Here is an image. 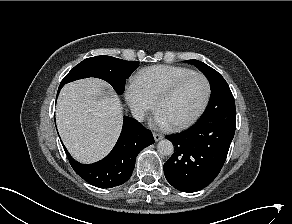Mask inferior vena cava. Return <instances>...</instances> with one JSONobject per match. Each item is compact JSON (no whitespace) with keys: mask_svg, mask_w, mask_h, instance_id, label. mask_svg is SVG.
<instances>
[{"mask_svg":"<svg viewBox=\"0 0 292 224\" xmlns=\"http://www.w3.org/2000/svg\"><path fill=\"white\" fill-rule=\"evenodd\" d=\"M131 113H132V116L138 120V121H143L144 120V117H145V113H144V110L140 107H137V106H131Z\"/></svg>","mask_w":292,"mask_h":224,"instance_id":"obj_1","label":"inferior vena cava"}]
</instances>
